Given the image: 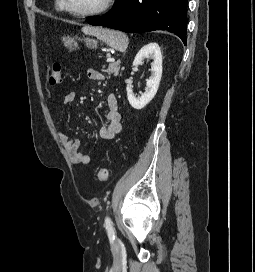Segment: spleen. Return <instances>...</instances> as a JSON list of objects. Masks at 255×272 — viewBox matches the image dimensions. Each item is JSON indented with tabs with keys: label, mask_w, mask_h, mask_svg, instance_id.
<instances>
[{
	"label": "spleen",
	"mask_w": 255,
	"mask_h": 272,
	"mask_svg": "<svg viewBox=\"0 0 255 272\" xmlns=\"http://www.w3.org/2000/svg\"><path fill=\"white\" fill-rule=\"evenodd\" d=\"M82 31L85 34L95 36L97 39L104 41L108 46L124 52L128 46V37L125 33L101 27H84Z\"/></svg>",
	"instance_id": "spleen-1"
}]
</instances>
